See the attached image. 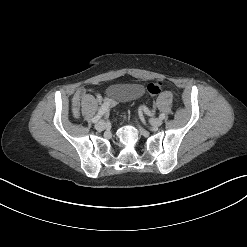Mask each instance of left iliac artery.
Wrapping results in <instances>:
<instances>
[{
  "instance_id": "44dca946",
  "label": "left iliac artery",
  "mask_w": 247,
  "mask_h": 247,
  "mask_svg": "<svg viewBox=\"0 0 247 247\" xmlns=\"http://www.w3.org/2000/svg\"><path fill=\"white\" fill-rule=\"evenodd\" d=\"M144 111L147 113V114H150V111L148 110V108L144 107ZM159 118L160 119H164L165 118V114L164 113H161L159 115Z\"/></svg>"
}]
</instances>
